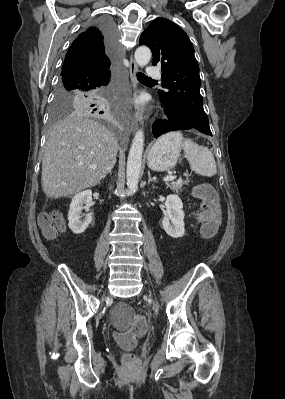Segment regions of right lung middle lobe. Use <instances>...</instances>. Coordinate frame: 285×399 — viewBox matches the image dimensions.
Returning a JSON list of instances; mask_svg holds the SVG:
<instances>
[{
    "instance_id": "obj_1",
    "label": "right lung middle lobe",
    "mask_w": 285,
    "mask_h": 399,
    "mask_svg": "<svg viewBox=\"0 0 285 399\" xmlns=\"http://www.w3.org/2000/svg\"><path fill=\"white\" fill-rule=\"evenodd\" d=\"M102 99H106L107 101L105 102ZM90 100H101L105 102V106L101 109L94 110V107L88 105V101ZM73 111L81 114L94 113L97 115H108L111 112V106L107 88L100 91L98 94H91L74 84L60 82L55 92L52 108V123L64 115L73 113Z\"/></svg>"
}]
</instances>
